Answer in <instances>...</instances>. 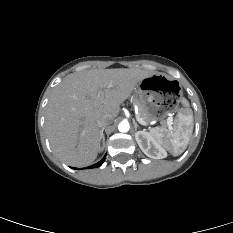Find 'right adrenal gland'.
I'll list each match as a JSON object with an SVG mask.
<instances>
[{
  "label": "right adrenal gland",
  "instance_id": "2a0ac1e0",
  "mask_svg": "<svg viewBox=\"0 0 233 233\" xmlns=\"http://www.w3.org/2000/svg\"><path fill=\"white\" fill-rule=\"evenodd\" d=\"M103 131H104V129L101 130L102 144H104V141H105V136H104Z\"/></svg>",
  "mask_w": 233,
  "mask_h": 233
}]
</instances>
